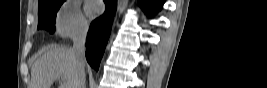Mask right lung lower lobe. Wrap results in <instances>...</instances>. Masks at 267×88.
<instances>
[{
    "label": "right lung lower lobe",
    "instance_id": "1",
    "mask_svg": "<svg viewBox=\"0 0 267 88\" xmlns=\"http://www.w3.org/2000/svg\"><path fill=\"white\" fill-rule=\"evenodd\" d=\"M106 11L91 23L87 36L86 58L92 68L98 71L101 58L108 42L113 16L116 9V0H104Z\"/></svg>",
    "mask_w": 267,
    "mask_h": 88
}]
</instances>
